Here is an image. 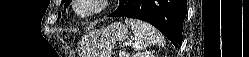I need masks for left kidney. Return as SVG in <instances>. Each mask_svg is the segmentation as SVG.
<instances>
[{"mask_svg":"<svg viewBox=\"0 0 249 57\" xmlns=\"http://www.w3.org/2000/svg\"><path fill=\"white\" fill-rule=\"evenodd\" d=\"M133 57H155L151 51L138 52Z\"/></svg>","mask_w":249,"mask_h":57,"instance_id":"1","label":"left kidney"}]
</instances>
